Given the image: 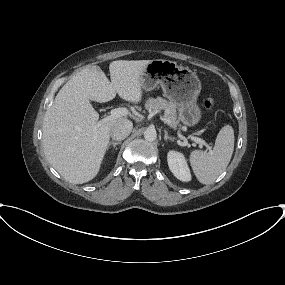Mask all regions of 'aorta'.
<instances>
[{
  "mask_svg": "<svg viewBox=\"0 0 285 285\" xmlns=\"http://www.w3.org/2000/svg\"><path fill=\"white\" fill-rule=\"evenodd\" d=\"M144 138L147 141H154L157 138V133L156 130L154 128H147L144 131Z\"/></svg>",
  "mask_w": 285,
  "mask_h": 285,
  "instance_id": "1",
  "label": "aorta"
}]
</instances>
